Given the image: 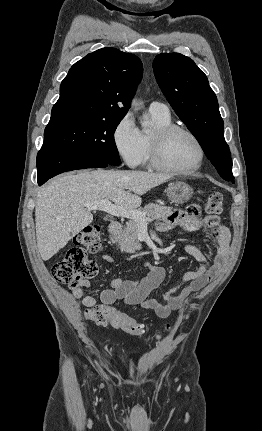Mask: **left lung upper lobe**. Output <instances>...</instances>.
<instances>
[{"mask_svg":"<svg viewBox=\"0 0 262 431\" xmlns=\"http://www.w3.org/2000/svg\"><path fill=\"white\" fill-rule=\"evenodd\" d=\"M154 74L166 99L196 137L220 176L234 183L229 146L218 101L206 75L195 62L179 53L155 57Z\"/></svg>","mask_w":262,"mask_h":431,"instance_id":"obj_1","label":"left lung upper lobe"}]
</instances>
